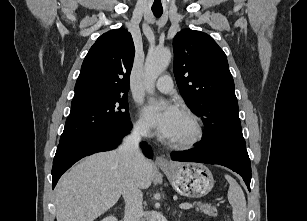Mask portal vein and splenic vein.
I'll return each mask as SVG.
<instances>
[{
	"label": "portal vein and splenic vein",
	"instance_id": "1",
	"mask_svg": "<svg viewBox=\"0 0 307 221\" xmlns=\"http://www.w3.org/2000/svg\"><path fill=\"white\" fill-rule=\"evenodd\" d=\"M192 207H193V205H192V204H189V203L180 204V208H181V209H184V210L190 209V208H192Z\"/></svg>",
	"mask_w": 307,
	"mask_h": 221
}]
</instances>
